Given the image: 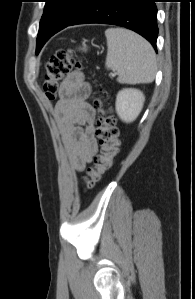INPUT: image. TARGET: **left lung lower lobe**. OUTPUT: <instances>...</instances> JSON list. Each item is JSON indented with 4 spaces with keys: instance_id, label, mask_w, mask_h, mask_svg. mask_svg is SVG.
<instances>
[{
    "instance_id": "1",
    "label": "left lung lower lobe",
    "mask_w": 195,
    "mask_h": 299,
    "mask_svg": "<svg viewBox=\"0 0 195 299\" xmlns=\"http://www.w3.org/2000/svg\"><path fill=\"white\" fill-rule=\"evenodd\" d=\"M155 2L157 0H89L69 26L86 23L123 26L146 38L156 50L158 27ZM55 32H51L49 38Z\"/></svg>"
}]
</instances>
